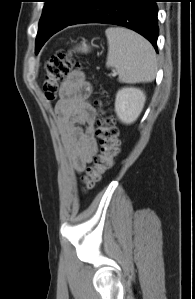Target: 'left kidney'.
<instances>
[{
	"instance_id": "1",
	"label": "left kidney",
	"mask_w": 195,
	"mask_h": 299,
	"mask_svg": "<svg viewBox=\"0 0 195 299\" xmlns=\"http://www.w3.org/2000/svg\"><path fill=\"white\" fill-rule=\"evenodd\" d=\"M146 96L138 88L124 87L116 94L115 112L119 120L124 124H131L140 115Z\"/></svg>"
}]
</instances>
